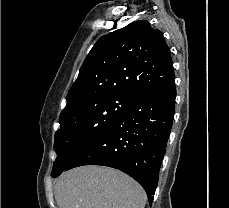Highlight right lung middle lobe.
Listing matches in <instances>:
<instances>
[{"instance_id":"obj_1","label":"right lung middle lobe","mask_w":229,"mask_h":208,"mask_svg":"<svg viewBox=\"0 0 229 208\" xmlns=\"http://www.w3.org/2000/svg\"><path fill=\"white\" fill-rule=\"evenodd\" d=\"M135 101L128 96H102L80 104L61 116L60 129L55 133L54 150L57 158L52 177L65 171L79 151L111 126Z\"/></svg>"}]
</instances>
